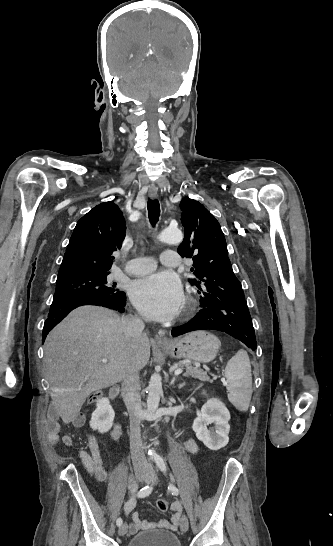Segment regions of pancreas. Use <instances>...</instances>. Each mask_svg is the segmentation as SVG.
<instances>
[{"mask_svg": "<svg viewBox=\"0 0 333 546\" xmlns=\"http://www.w3.org/2000/svg\"><path fill=\"white\" fill-rule=\"evenodd\" d=\"M177 368H183L185 367V373L183 374L184 376L186 377H193V378H196V379H199L201 381H211L209 376L207 375L206 372L202 371L201 369L195 367V366H192L191 364H188V363H178L176 365Z\"/></svg>", "mask_w": 333, "mask_h": 546, "instance_id": "obj_1", "label": "pancreas"}]
</instances>
